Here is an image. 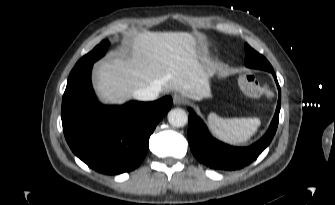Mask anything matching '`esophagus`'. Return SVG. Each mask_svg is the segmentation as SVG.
Returning <instances> with one entry per match:
<instances>
[{"label":"esophagus","mask_w":335,"mask_h":205,"mask_svg":"<svg viewBox=\"0 0 335 205\" xmlns=\"http://www.w3.org/2000/svg\"><path fill=\"white\" fill-rule=\"evenodd\" d=\"M185 102L184 98L178 94L173 96V103L175 105H182Z\"/></svg>","instance_id":"1"}]
</instances>
